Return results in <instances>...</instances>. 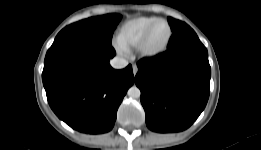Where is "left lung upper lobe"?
<instances>
[{
  "mask_svg": "<svg viewBox=\"0 0 261 150\" xmlns=\"http://www.w3.org/2000/svg\"><path fill=\"white\" fill-rule=\"evenodd\" d=\"M168 22H169L173 32H176L179 29H181V28H183L187 25L186 23L179 21V20H176V19L171 18V17L168 18Z\"/></svg>",
  "mask_w": 261,
  "mask_h": 150,
  "instance_id": "left-lung-upper-lobe-1",
  "label": "left lung upper lobe"
}]
</instances>
